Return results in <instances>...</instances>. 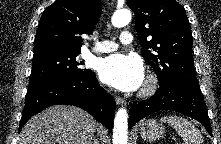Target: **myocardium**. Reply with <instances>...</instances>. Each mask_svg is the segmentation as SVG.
<instances>
[{
  "label": "myocardium",
  "instance_id": "f54148a6",
  "mask_svg": "<svg viewBox=\"0 0 221 144\" xmlns=\"http://www.w3.org/2000/svg\"><path fill=\"white\" fill-rule=\"evenodd\" d=\"M157 88H158V80L154 75L150 74L147 76L145 80L140 95L142 97H149L155 93Z\"/></svg>",
  "mask_w": 221,
  "mask_h": 144
}]
</instances>
